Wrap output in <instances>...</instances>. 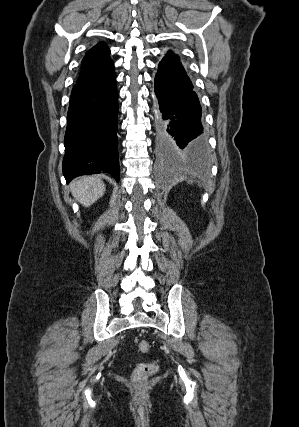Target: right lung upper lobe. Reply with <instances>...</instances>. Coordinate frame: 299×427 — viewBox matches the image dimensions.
Returning <instances> with one entry per match:
<instances>
[{
  "label": "right lung upper lobe",
  "mask_w": 299,
  "mask_h": 427,
  "mask_svg": "<svg viewBox=\"0 0 299 427\" xmlns=\"http://www.w3.org/2000/svg\"><path fill=\"white\" fill-rule=\"evenodd\" d=\"M108 46L101 42L89 50L82 60L81 72L77 83L94 81L105 77L114 70V64L109 57Z\"/></svg>",
  "instance_id": "cb5924a9"
}]
</instances>
